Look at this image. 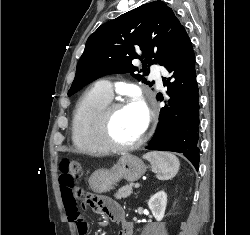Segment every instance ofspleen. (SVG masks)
<instances>
[{
	"instance_id": "3e777b00",
	"label": "spleen",
	"mask_w": 250,
	"mask_h": 235,
	"mask_svg": "<svg viewBox=\"0 0 250 235\" xmlns=\"http://www.w3.org/2000/svg\"><path fill=\"white\" fill-rule=\"evenodd\" d=\"M143 158L150 162L159 180H169L179 171V159L172 153L152 151L144 154Z\"/></svg>"
}]
</instances>
